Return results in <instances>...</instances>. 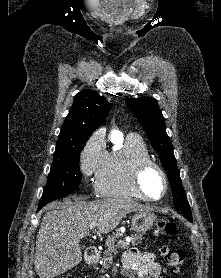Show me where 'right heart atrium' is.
<instances>
[{
  "label": "right heart atrium",
  "instance_id": "d8ad5b80",
  "mask_svg": "<svg viewBox=\"0 0 221 278\" xmlns=\"http://www.w3.org/2000/svg\"><path fill=\"white\" fill-rule=\"evenodd\" d=\"M106 157L104 134L96 131L89 137L80 152L79 166L83 176L96 177L103 168Z\"/></svg>",
  "mask_w": 221,
  "mask_h": 278
}]
</instances>
